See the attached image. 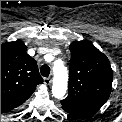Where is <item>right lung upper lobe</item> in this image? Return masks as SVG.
Returning a JSON list of instances; mask_svg holds the SVG:
<instances>
[{"mask_svg": "<svg viewBox=\"0 0 122 122\" xmlns=\"http://www.w3.org/2000/svg\"><path fill=\"white\" fill-rule=\"evenodd\" d=\"M21 41L1 45V111L23 104L43 83L36 61Z\"/></svg>", "mask_w": 122, "mask_h": 122, "instance_id": "obj_1", "label": "right lung upper lobe"}]
</instances>
